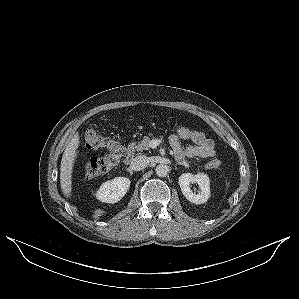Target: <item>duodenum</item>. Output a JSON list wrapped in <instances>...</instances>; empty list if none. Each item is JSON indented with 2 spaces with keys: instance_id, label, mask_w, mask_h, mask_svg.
<instances>
[{
  "instance_id": "1",
  "label": "duodenum",
  "mask_w": 299,
  "mask_h": 299,
  "mask_svg": "<svg viewBox=\"0 0 299 299\" xmlns=\"http://www.w3.org/2000/svg\"><path fill=\"white\" fill-rule=\"evenodd\" d=\"M133 156H134V148H133V145H129V146L126 148V151H125V155H124V163H125L126 165H129V164L132 162Z\"/></svg>"
}]
</instances>
